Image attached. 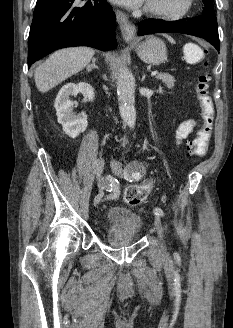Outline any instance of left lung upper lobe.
Wrapping results in <instances>:
<instances>
[{
  "label": "left lung upper lobe",
  "instance_id": "left-lung-upper-lobe-1",
  "mask_svg": "<svg viewBox=\"0 0 233 328\" xmlns=\"http://www.w3.org/2000/svg\"><path fill=\"white\" fill-rule=\"evenodd\" d=\"M204 3L203 7V15L207 17H215V13L213 10V0H202Z\"/></svg>",
  "mask_w": 233,
  "mask_h": 328
}]
</instances>
